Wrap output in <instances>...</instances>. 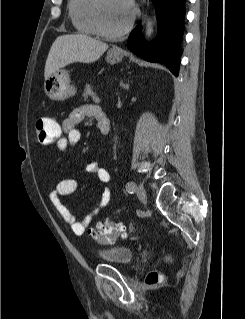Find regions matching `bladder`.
Instances as JSON below:
<instances>
[{"label":"bladder","instance_id":"bladder-1","mask_svg":"<svg viewBox=\"0 0 245 319\" xmlns=\"http://www.w3.org/2000/svg\"><path fill=\"white\" fill-rule=\"evenodd\" d=\"M98 258L108 263L127 265L132 261L133 254L129 247L116 245L100 250Z\"/></svg>","mask_w":245,"mask_h":319}]
</instances>
